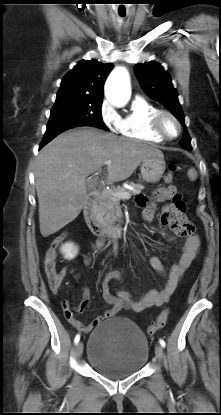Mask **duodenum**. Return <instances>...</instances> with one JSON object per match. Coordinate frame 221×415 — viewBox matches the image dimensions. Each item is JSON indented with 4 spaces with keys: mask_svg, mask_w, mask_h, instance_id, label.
I'll list each match as a JSON object with an SVG mask.
<instances>
[{
    "mask_svg": "<svg viewBox=\"0 0 221 415\" xmlns=\"http://www.w3.org/2000/svg\"><path fill=\"white\" fill-rule=\"evenodd\" d=\"M98 195L97 191L92 192L83 208V214L88 228L94 235L100 238L122 235L124 229L121 225L105 224L97 217L96 202Z\"/></svg>",
    "mask_w": 221,
    "mask_h": 415,
    "instance_id": "obj_1",
    "label": "duodenum"
}]
</instances>
